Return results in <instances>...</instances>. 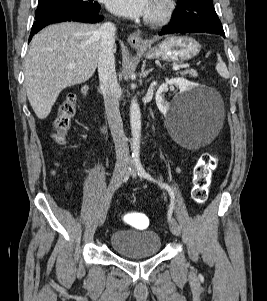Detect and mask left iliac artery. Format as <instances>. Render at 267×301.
<instances>
[{"label":"left iliac artery","mask_w":267,"mask_h":301,"mask_svg":"<svg viewBox=\"0 0 267 301\" xmlns=\"http://www.w3.org/2000/svg\"><path fill=\"white\" fill-rule=\"evenodd\" d=\"M136 168H137V172H138V175L146 178L147 180H150V181H153V182H156L160 187L166 189L171 197V205H170V209H169V212H168V219H171V216H172V211H173V208H174V201H175V196H174V191L173 189L166 183L164 182H161V181H156L154 178H152L146 171L145 169L143 168L142 164L140 161H137L136 162Z\"/></svg>","instance_id":"obj_1"}]
</instances>
